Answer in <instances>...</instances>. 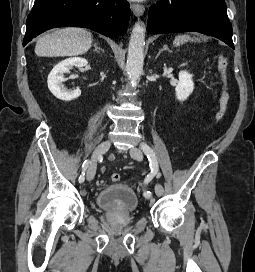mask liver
Wrapping results in <instances>:
<instances>
[{
	"mask_svg": "<svg viewBox=\"0 0 255 272\" xmlns=\"http://www.w3.org/2000/svg\"><path fill=\"white\" fill-rule=\"evenodd\" d=\"M92 34L85 29L68 27L40 37L35 46L39 57L76 56L87 52Z\"/></svg>",
	"mask_w": 255,
	"mask_h": 272,
	"instance_id": "obj_1",
	"label": "liver"
}]
</instances>
